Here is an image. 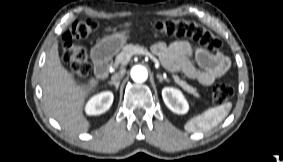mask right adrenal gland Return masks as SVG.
Returning <instances> with one entry per match:
<instances>
[{
	"label": "right adrenal gland",
	"mask_w": 283,
	"mask_h": 162,
	"mask_svg": "<svg viewBox=\"0 0 283 162\" xmlns=\"http://www.w3.org/2000/svg\"><path fill=\"white\" fill-rule=\"evenodd\" d=\"M108 84H109L110 86H115V89H116V91H117L118 88H119L120 82H118V83L108 82Z\"/></svg>",
	"instance_id": "right-adrenal-gland-1"
}]
</instances>
